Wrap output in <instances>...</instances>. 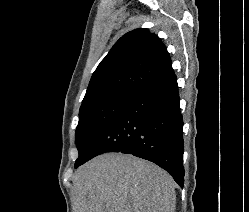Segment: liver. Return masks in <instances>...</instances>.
<instances>
[{"instance_id":"1","label":"liver","mask_w":249,"mask_h":212,"mask_svg":"<svg viewBox=\"0 0 249 212\" xmlns=\"http://www.w3.org/2000/svg\"><path fill=\"white\" fill-rule=\"evenodd\" d=\"M74 212H175L173 178L129 154H103L75 172Z\"/></svg>"}]
</instances>
